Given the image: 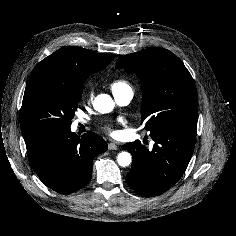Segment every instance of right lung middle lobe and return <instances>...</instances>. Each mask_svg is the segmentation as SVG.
I'll use <instances>...</instances> for the list:
<instances>
[{
	"instance_id": "dd1d6c3e",
	"label": "right lung middle lobe",
	"mask_w": 236,
	"mask_h": 236,
	"mask_svg": "<svg viewBox=\"0 0 236 236\" xmlns=\"http://www.w3.org/2000/svg\"><path fill=\"white\" fill-rule=\"evenodd\" d=\"M85 80L72 82L46 76L30 77L20 115L22 134L70 129Z\"/></svg>"
}]
</instances>
